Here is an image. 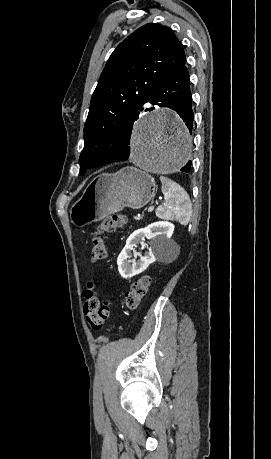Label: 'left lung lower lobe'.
<instances>
[{"label": "left lung lower lobe", "mask_w": 271, "mask_h": 459, "mask_svg": "<svg viewBox=\"0 0 271 459\" xmlns=\"http://www.w3.org/2000/svg\"><path fill=\"white\" fill-rule=\"evenodd\" d=\"M191 98L192 96L189 83V71L185 64L164 82L158 85L149 95L146 103L149 102L160 107H170L171 109L175 110L186 123L188 129L191 131L194 119ZM153 109L154 108L148 110L150 111ZM131 131L132 127H130L125 134V141L127 142V145L130 144ZM129 154L130 147L127 146L125 152L113 162L126 161L129 158ZM190 166L191 161H189L183 168H181V171L189 172Z\"/></svg>", "instance_id": "1"}]
</instances>
